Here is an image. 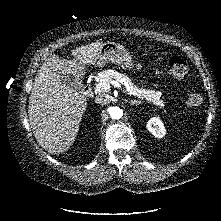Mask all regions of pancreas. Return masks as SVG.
Here are the masks:
<instances>
[{
  "label": "pancreas",
  "instance_id": "1",
  "mask_svg": "<svg viewBox=\"0 0 221 221\" xmlns=\"http://www.w3.org/2000/svg\"><path fill=\"white\" fill-rule=\"evenodd\" d=\"M99 84H108L113 79L124 84L127 87V92L129 95L137 96L140 99H145L148 103L159 106L162 108L164 106V101L161 99V93L159 91H154L150 89L139 88L134 85L131 80L124 74H121L115 70H106L98 74ZM101 92H106L107 90L102 89Z\"/></svg>",
  "mask_w": 221,
  "mask_h": 221
}]
</instances>
